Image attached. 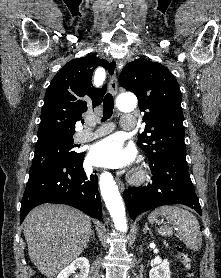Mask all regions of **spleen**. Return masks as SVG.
Returning <instances> with one entry per match:
<instances>
[{"label": "spleen", "instance_id": "1", "mask_svg": "<svg viewBox=\"0 0 221 278\" xmlns=\"http://www.w3.org/2000/svg\"><path fill=\"white\" fill-rule=\"evenodd\" d=\"M165 217L173 226L177 227L176 236L187 248L198 251L202 245V236L197 218L189 211L179 206H161L152 211L148 220L151 224L157 221V217ZM159 235L169 237L173 235L171 227L157 228Z\"/></svg>", "mask_w": 221, "mask_h": 278}]
</instances>
